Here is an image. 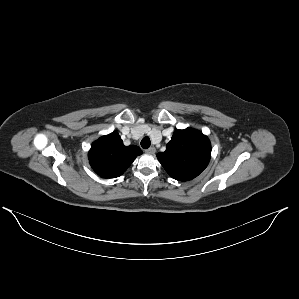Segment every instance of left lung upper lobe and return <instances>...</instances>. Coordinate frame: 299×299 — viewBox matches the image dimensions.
Instances as JSON below:
<instances>
[{"instance_id": "1", "label": "left lung upper lobe", "mask_w": 299, "mask_h": 299, "mask_svg": "<svg viewBox=\"0 0 299 299\" xmlns=\"http://www.w3.org/2000/svg\"><path fill=\"white\" fill-rule=\"evenodd\" d=\"M210 157L208 137L191 128L175 131L166 150L157 154L167 173L179 181L197 177L207 167Z\"/></svg>"}]
</instances>
